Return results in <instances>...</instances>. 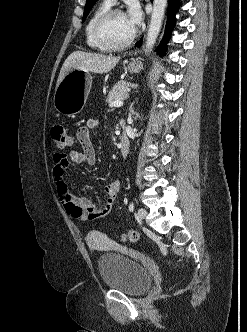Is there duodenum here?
<instances>
[{"instance_id":"410a0bca","label":"duodenum","mask_w":247,"mask_h":332,"mask_svg":"<svg viewBox=\"0 0 247 332\" xmlns=\"http://www.w3.org/2000/svg\"><path fill=\"white\" fill-rule=\"evenodd\" d=\"M129 149H130V141H129L128 136L124 133L121 136V140H120V144H119L120 154L123 157L127 156V154L129 153Z\"/></svg>"}]
</instances>
